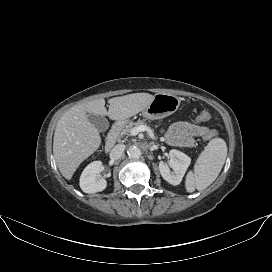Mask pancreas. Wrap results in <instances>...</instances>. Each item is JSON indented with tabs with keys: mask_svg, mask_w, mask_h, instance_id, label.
Segmentation results:
<instances>
[{
	"mask_svg": "<svg viewBox=\"0 0 272 272\" xmlns=\"http://www.w3.org/2000/svg\"><path fill=\"white\" fill-rule=\"evenodd\" d=\"M145 124L144 121H138V122H130L128 124L123 125L120 128V131L118 132V138H122L124 136L128 137L131 135V131L133 129V126L138 127Z\"/></svg>",
	"mask_w": 272,
	"mask_h": 272,
	"instance_id": "1",
	"label": "pancreas"
}]
</instances>
